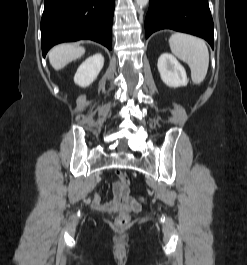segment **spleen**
Wrapping results in <instances>:
<instances>
[{
    "mask_svg": "<svg viewBox=\"0 0 247 265\" xmlns=\"http://www.w3.org/2000/svg\"><path fill=\"white\" fill-rule=\"evenodd\" d=\"M169 45L172 53L189 65L193 83L203 82L209 66V52L205 42L192 35L174 33L169 39Z\"/></svg>",
    "mask_w": 247,
    "mask_h": 265,
    "instance_id": "obj_1",
    "label": "spleen"
}]
</instances>
